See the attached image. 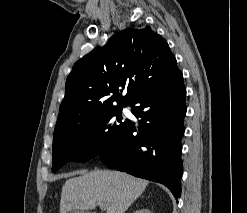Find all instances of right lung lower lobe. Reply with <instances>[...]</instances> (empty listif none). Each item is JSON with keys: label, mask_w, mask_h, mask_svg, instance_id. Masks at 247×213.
Wrapping results in <instances>:
<instances>
[{"label": "right lung lower lobe", "mask_w": 247, "mask_h": 213, "mask_svg": "<svg viewBox=\"0 0 247 213\" xmlns=\"http://www.w3.org/2000/svg\"><path fill=\"white\" fill-rule=\"evenodd\" d=\"M186 89L175 67L136 94L128 105L139 127L128 120L112 149L99 154L109 167L162 183L181 195V138L184 134ZM137 132V133H136Z\"/></svg>", "instance_id": "1"}]
</instances>
